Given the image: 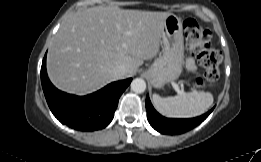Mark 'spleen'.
Listing matches in <instances>:
<instances>
[{
	"label": "spleen",
	"mask_w": 261,
	"mask_h": 162,
	"mask_svg": "<svg viewBox=\"0 0 261 162\" xmlns=\"http://www.w3.org/2000/svg\"><path fill=\"white\" fill-rule=\"evenodd\" d=\"M152 99L156 110L160 114L171 118L199 116L213 103V95L210 92L196 90L167 98L153 94Z\"/></svg>",
	"instance_id": "3e777b00"
}]
</instances>
